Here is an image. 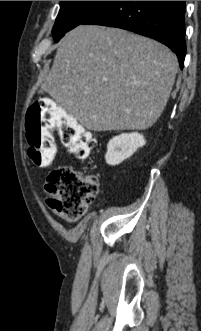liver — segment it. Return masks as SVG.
<instances>
[{
    "mask_svg": "<svg viewBox=\"0 0 201 331\" xmlns=\"http://www.w3.org/2000/svg\"><path fill=\"white\" fill-rule=\"evenodd\" d=\"M177 58L119 28L80 25L59 44L42 89L88 130H145L162 114Z\"/></svg>",
    "mask_w": 201,
    "mask_h": 331,
    "instance_id": "1",
    "label": "liver"
}]
</instances>
